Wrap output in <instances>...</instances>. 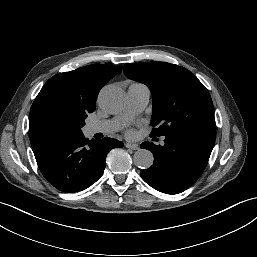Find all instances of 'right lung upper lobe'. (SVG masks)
<instances>
[{
	"instance_id": "1",
	"label": "right lung upper lobe",
	"mask_w": 257,
	"mask_h": 257,
	"mask_svg": "<svg viewBox=\"0 0 257 257\" xmlns=\"http://www.w3.org/2000/svg\"><path fill=\"white\" fill-rule=\"evenodd\" d=\"M121 70V66L88 65L70 72L56 74L50 78L42 87L30 110L31 146H36L52 137L40 131L34 123L35 111L48 95L64 94L78 100L90 109H95L99 90Z\"/></svg>"
}]
</instances>
